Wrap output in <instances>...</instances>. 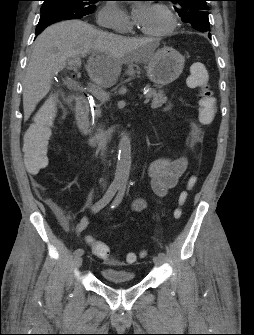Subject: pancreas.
<instances>
[{
  "mask_svg": "<svg viewBox=\"0 0 254 335\" xmlns=\"http://www.w3.org/2000/svg\"><path fill=\"white\" fill-rule=\"evenodd\" d=\"M146 96L147 98H152L151 108L153 109L161 107L164 103L167 102V97L162 90L150 89ZM97 114L100 116V109H98Z\"/></svg>",
  "mask_w": 254,
  "mask_h": 335,
  "instance_id": "pancreas-1",
  "label": "pancreas"
}]
</instances>
